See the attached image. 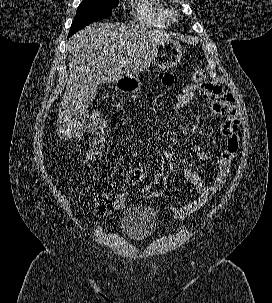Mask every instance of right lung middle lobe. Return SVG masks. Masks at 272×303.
I'll return each mask as SVG.
<instances>
[{"mask_svg": "<svg viewBox=\"0 0 272 303\" xmlns=\"http://www.w3.org/2000/svg\"><path fill=\"white\" fill-rule=\"evenodd\" d=\"M118 0H84L77 9L76 17L71 25L69 36L94 21L108 18Z\"/></svg>", "mask_w": 272, "mask_h": 303, "instance_id": "obj_1", "label": "right lung middle lobe"}]
</instances>
